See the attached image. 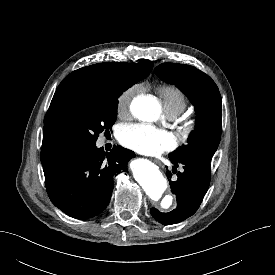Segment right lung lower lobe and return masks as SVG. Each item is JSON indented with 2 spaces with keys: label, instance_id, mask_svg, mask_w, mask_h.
Listing matches in <instances>:
<instances>
[{
  "label": "right lung lower lobe",
  "instance_id": "1",
  "mask_svg": "<svg viewBox=\"0 0 275 275\" xmlns=\"http://www.w3.org/2000/svg\"><path fill=\"white\" fill-rule=\"evenodd\" d=\"M133 157V151L121 146H114L108 154L96 145L67 151L43 165L50 200L76 219L98 215L110 201L113 177L127 172L128 161Z\"/></svg>",
  "mask_w": 275,
  "mask_h": 275
}]
</instances>
